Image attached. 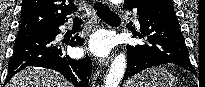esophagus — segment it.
Masks as SVG:
<instances>
[{
	"label": "esophagus",
	"instance_id": "esophagus-1",
	"mask_svg": "<svg viewBox=\"0 0 205 87\" xmlns=\"http://www.w3.org/2000/svg\"><path fill=\"white\" fill-rule=\"evenodd\" d=\"M97 1L106 3L105 0H97ZM112 58H113V54L107 56L106 58H102V59L99 60V64L101 66H107L110 63V61L112 60Z\"/></svg>",
	"mask_w": 205,
	"mask_h": 87
}]
</instances>
